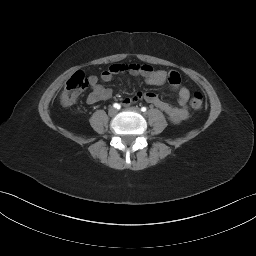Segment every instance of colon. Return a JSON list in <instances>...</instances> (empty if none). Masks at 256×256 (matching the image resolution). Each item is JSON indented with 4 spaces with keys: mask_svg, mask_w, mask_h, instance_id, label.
Instances as JSON below:
<instances>
[{
    "mask_svg": "<svg viewBox=\"0 0 256 256\" xmlns=\"http://www.w3.org/2000/svg\"><path fill=\"white\" fill-rule=\"evenodd\" d=\"M89 79L83 72L74 73L66 82L64 90L60 96V102L64 106L73 105L82 91L88 86ZM204 97L200 92H194L190 99V106L194 110H200L203 107Z\"/></svg>",
    "mask_w": 256,
    "mask_h": 256,
    "instance_id": "obj_1",
    "label": "colon"
}]
</instances>
